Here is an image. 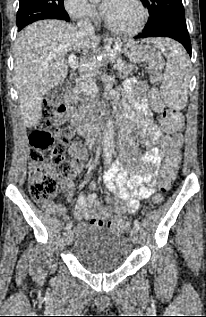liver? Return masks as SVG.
Segmentation results:
<instances>
[{"label": "liver", "instance_id": "liver-1", "mask_svg": "<svg viewBox=\"0 0 206 317\" xmlns=\"http://www.w3.org/2000/svg\"><path fill=\"white\" fill-rule=\"evenodd\" d=\"M100 38L83 35L77 27L59 20H43L24 28L17 36L14 51V79L24 124L37 125L42 115L43 97L64 82L68 66L65 56L74 51L88 57L81 71L101 65L94 56L100 53ZM84 63H92L88 68Z\"/></svg>", "mask_w": 206, "mask_h": 317}]
</instances>
